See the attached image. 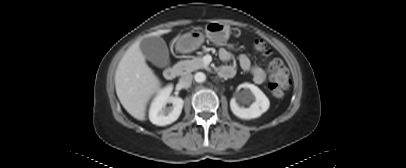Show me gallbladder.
Returning a JSON list of instances; mask_svg holds the SVG:
<instances>
[{"mask_svg":"<svg viewBox=\"0 0 406 168\" xmlns=\"http://www.w3.org/2000/svg\"><path fill=\"white\" fill-rule=\"evenodd\" d=\"M140 49L143 55L156 67L165 68L169 66V51L163 38L159 36L144 38L140 42Z\"/></svg>","mask_w":406,"mask_h":168,"instance_id":"obj_1","label":"gallbladder"}]
</instances>
